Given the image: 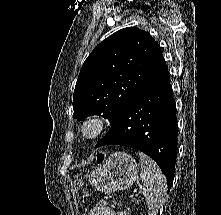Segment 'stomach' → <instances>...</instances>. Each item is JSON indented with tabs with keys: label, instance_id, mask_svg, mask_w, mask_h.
Wrapping results in <instances>:
<instances>
[{
	"label": "stomach",
	"instance_id": "obj_1",
	"mask_svg": "<svg viewBox=\"0 0 221 215\" xmlns=\"http://www.w3.org/2000/svg\"><path fill=\"white\" fill-rule=\"evenodd\" d=\"M139 167L135 159L124 152H114L103 162L97 164L87 175L95 188L104 193L111 194L132 186L137 179ZM74 185L82 188V177L74 176Z\"/></svg>",
	"mask_w": 221,
	"mask_h": 215
}]
</instances>
